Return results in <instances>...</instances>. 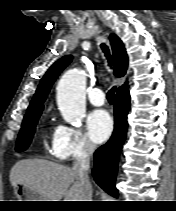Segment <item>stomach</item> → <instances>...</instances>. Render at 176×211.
<instances>
[{"instance_id": "stomach-1", "label": "stomach", "mask_w": 176, "mask_h": 211, "mask_svg": "<svg viewBox=\"0 0 176 211\" xmlns=\"http://www.w3.org/2000/svg\"><path fill=\"white\" fill-rule=\"evenodd\" d=\"M13 191L18 201H46L36 190L22 183L15 184Z\"/></svg>"}]
</instances>
